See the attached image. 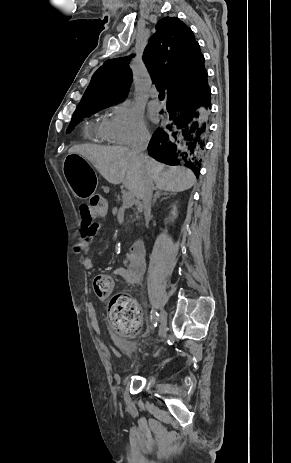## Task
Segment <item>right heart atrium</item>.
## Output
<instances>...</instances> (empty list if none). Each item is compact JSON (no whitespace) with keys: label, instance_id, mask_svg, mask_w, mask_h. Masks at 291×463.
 <instances>
[{"label":"right heart atrium","instance_id":"1","mask_svg":"<svg viewBox=\"0 0 291 463\" xmlns=\"http://www.w3.org/2000/svg\"><path fill=\"white\" fill-rule=\"evenodd\" d=\"M107 135L111 142L119 145H135L149 139L142 114L127 101L112 108L107 121Z\"/></svg>","mask_w":291,"mask_h":463}]
</instances>
